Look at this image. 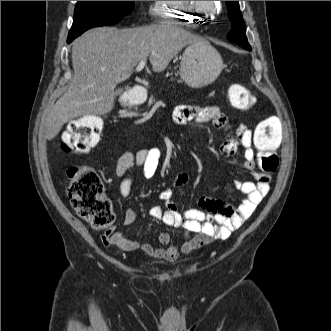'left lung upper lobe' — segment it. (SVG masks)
<instances>
[{
    "instance_id": "5c2ea615",
    "label": "left lung upper lobe",
    "mask_w": 331,
    "mask_h": 331,
    "mask_svg": "<svg viewBox=\"0 0 331 331\" xmlns=\"http://www.w3.org/2000/svg\"><path fill=\"white\" fill-rule=\"evenodd\" d=\"M229 19L232 21V30L228 33L227 39L237 43L241 47L251 50L248 44L244 21L240 13L238 1H226Z\"/></svg>"
}]
</instances>
